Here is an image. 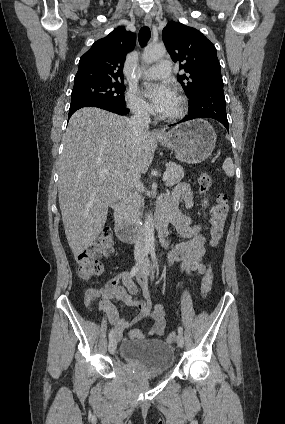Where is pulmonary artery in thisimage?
Here are the masks:
<instances>
[{
	"mask_svg": "<svg viewBox=\"0 0 285 424\" xmlns=\"http://www.w3.org/2000/svg\"><path fill=\"white\" fill-rule=\"evenodd\" d=\"M171 61L169 59H162L155 66L148 68L144 72V76L152 79L166 78L171 73Z\"/></svg>",
	"mask_w": 285,
	"mask_h": 424,
	"instance_id": "obj_1",
	"label": "pulmonary artery"
}]
</instances>
